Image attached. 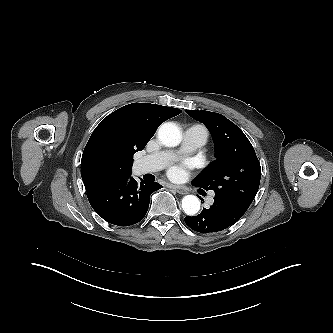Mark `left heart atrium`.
Listing matches in <instances>:
<instances>
[{
    "instance_id": "39dd6f15",
    "label": "left heart atrium",
    "mask_w": 333,
    "mask_h": 333,
    "mask_svg": "<svg viewBox=\"0 0 333 333\" xmlns=\"http://www.w3.org/2000/svg\"><path fill=\"white\" fill-rule=\"evenodd\" d=\"M184 166H174L169 170V176L173 179H180L184 176Z\"/></svg>"
}]
</instances>
